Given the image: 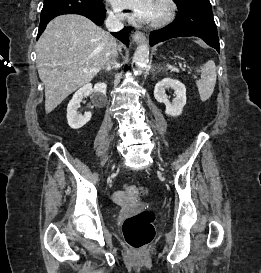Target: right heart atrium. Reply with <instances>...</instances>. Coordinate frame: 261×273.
Returning a JSON list of instances; mask_svg holds the SVG:
<instances>
[{"label":"right heart atrium","mask_w":261,"mask_h":273,"mask_svg":"<svg viewBox=\"0 0 261 273\" xmlns=\"http://www.w3.org/2000/svg\"><path fill=\"white\" fill-rule=\"evenodd\" d=\"M111 17L112 18H119V14L117 12H115V11H112L111 12Z\"/></svg>","instance_id":"obj_1"}]
</instances>
